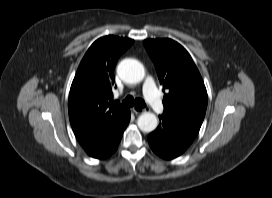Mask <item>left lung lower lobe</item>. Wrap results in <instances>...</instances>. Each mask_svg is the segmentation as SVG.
<instances>
[{
	"label": "left lung lower lobe",
	"instance_id": "obj_1",
	"mask_svg": "<svg viewBox=\"0 0 272 198\" xmlns=\"http://www.w3.org/2000/svg\"><path fill=\"white\" fill-rule=\"evenodd\" d=\"M160 119L162 122L148 136L149 145L164 159L176 158L190 146L201 126L164 114Z\"/></svg>",
	"mask_w": 272,
	"mask_h": 198
}]
</instances>
